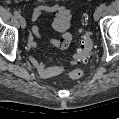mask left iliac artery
<instances>
[{"instance_id":"left-iliac-artery-1","label":"left iliac artery","mask_w":119,"mask_h":119,"mask_svg":"<svg viewBox=\"0 0 119 119\" xmlns=\"http://www.w3.org/2000/svg\"><path fill=\"white\" fill-rule=\"evenodd\" d=\"M100 8H101L102 10H105V9H106V4H105V3L101 4V5H100Z\"/></svg>"}]
</instances>
